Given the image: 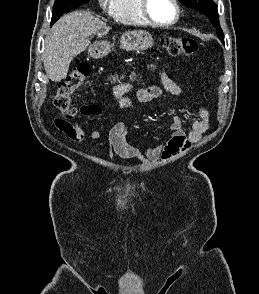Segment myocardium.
<instances>
[{"instance_id":"myocardium-1","label":"myocardium","mask_w":259,"mask_h":294,"mask_svg":"<svg viewBox=\"0 0 259 294\" xmlns=\"http://www.w3.org/2000/svg\"><path fill=\"white\" fill-rule=\"evenodd\" d=\"M175 7V17L172 21L168 23H162L155 20L149 12V0H140V11L145 20L153 26L160 28H168L175 25L181 16V9L178 0H171Z\"/></svg>"}]
</instances>
